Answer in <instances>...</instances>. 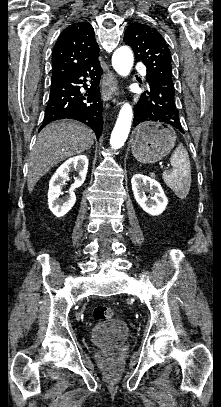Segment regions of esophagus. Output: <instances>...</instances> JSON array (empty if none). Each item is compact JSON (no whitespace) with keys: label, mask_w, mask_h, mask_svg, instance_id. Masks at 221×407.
<instances>
[{"label":"esophagus","mask_w":221,"mask_h":407,"mask_svg":"<svg viewBox=\"0 0 221 407\" xmlns=\"http://www.w3.org/2000/svg\"><path fill=\"white\" fill-rule=\"evenodd\" d=\"M101 95L104 101L110 100L113 95H120L118 79L112 73H108L107 80L104 88L102 89Z\"/></svg>","instance_id":"esophagus-1"}]
</instances>
